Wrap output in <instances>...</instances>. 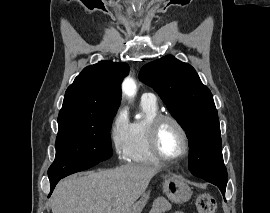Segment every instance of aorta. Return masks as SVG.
I'll return each mask as SVG.
<instances>
[{"label": "aorta", "instance_id": "aorta-1", "mask_svg": "<svg viewBox=\"0 0 270 213\" xmlns=\"http://www.w3.org/2000/svg\"><path fill=\"white\" fill-rule=\"evenodd\" d=\"M123 92L128 96V97H133L135 92H136V84L133 79L127 78L123 82Z\"/></svg>", "mask_w": 270, "mask_h": 213}]
</instances>
